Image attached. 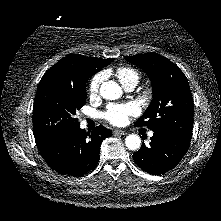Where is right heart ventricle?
Here are the masks:
<instances>
[{
    "instance_id": "right-heart-ventricle-1",
    "label": "right heart ventricle",
    "mask_w": 221,
    "mask_h": 221,
    "mask_svg": "<svg viewBox=\"0 0 221 221\" xmlns=\"http://www.w3.org/2000/svg\"><path fill=\"white\" fill-rule=\"evenodd\" d=\"M115 74L123 86L130 83L137 84L140 79L139 72L136 69L128 66L119 67Z\"/></svg>"
}]
</instances>
